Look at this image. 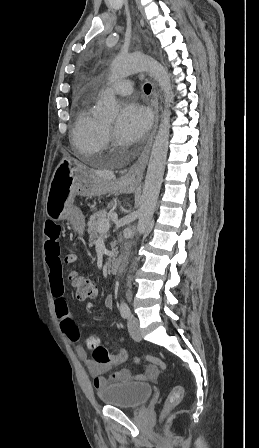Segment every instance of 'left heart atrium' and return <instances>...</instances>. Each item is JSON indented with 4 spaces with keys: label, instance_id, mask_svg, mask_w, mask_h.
<instances>
[{
    "label": "left heart atrium",
    "instance_id": "left-heart-atrium-1",
    "mask_svg": "<svg viewBox=\"0 0 259 448\" xmlns=\"http://www.w3.org/2000/svg\"><path fill=\"white\" fill-rule=\"evenodd\" d=\"M150 125L149 111L137 101H128L121 107L116 123L119 138L128 143L143 138Z\"/></svg>",
    "mask_w": 259,
    "mask_h": 448
}]
</instances>
